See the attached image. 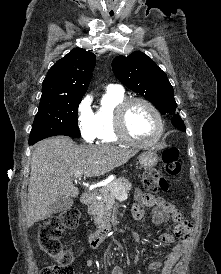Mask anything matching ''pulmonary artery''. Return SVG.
Segmentation results:
<instances>
[{
	"label": "pulmonary artery",
	"instance_id": "e3ab8cb5",
	"mask_svg": "<svg viewBox=\"0 0 221 274\" xmlns=\"http://www.w3.org/2000/svg\"><path fill=\"white\" fill-rule=\"evenodd\" d=\"M108 88H109V89H117V90H122V87H121V86H119V85H110Z\"/></svg>",
	"mask_w": 221,
	"mask_h": 274
}]
</instances>
